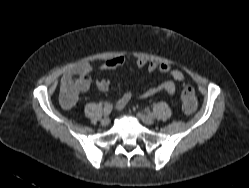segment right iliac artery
<instances>
[{
  "instance_id": "1",
  "label": "right iliac artery",
  "mask_w": 249,
  "mask_h": 188,
  "mask_svg": "<svg viewBox=\"0 0 249 188\" xmlns=\"http://www.w3.org/2000/svg\"><path fill=\"white\" fill-rule=\"evenodd\" d=\"M112 109H113V105L112 104H106L104 106V111H103L104 112V116L105 117L108 116L111 113Z\"/></svg>"
}]
</instances>
